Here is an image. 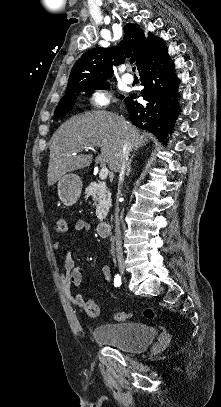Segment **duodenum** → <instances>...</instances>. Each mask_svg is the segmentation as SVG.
Here are the masks:
<instances>
[{
    "label": "duodenum",
    "mask_w": 221,
    "mask_h": 407,
    "mask_svg": "<svg viewBox=\"0 0 221 407\" xmlns=\"http://www.w3.org/2000/svg\"><path fill=\"white\" fill-rule=\"evenodd\" d=\"M110 229H111V223L108 221H103L98 224L97 232L100 236L104 237L109 234Z\"/></svg>",
    "instance_id": "1"
}]
</instances>
